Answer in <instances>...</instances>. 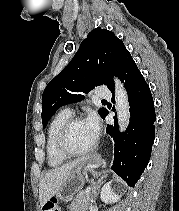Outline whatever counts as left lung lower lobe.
I'll list each match as a JSON object with an SVG mask.
<instances>
[{"mask_svg": "<svg viewBox=\"0 0 179 211\" xmlns=\"http://www.w3.org/2000/svg\"><path fill=\"white\" fill-rule=\"evenodd\" d=\"M118 77L128 92L131 118L124 133L119 132L117 125L106 127L107 134L115 141L111 169L134 187L150 159L156 115L150 88L130 54L123 61ZM110 90L114 92V85ZM107 114L106 110L102 118ZM114 120L117 121L116 118Z\"/></svg>", "mask_w": 179, "mask_h": 211, "instance_id": "left-lung-lower-lobe-1", "label": "left lung lower lobe"}]
</instances>
